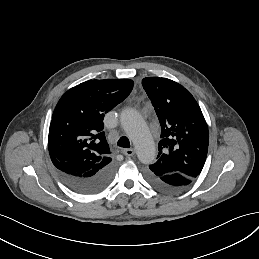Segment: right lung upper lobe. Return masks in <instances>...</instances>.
<instances>
[{"label":"right lung upper lobe","instance_id":"right-lung-upper-lobe-1","mask_svg":"<svg viewBox=\"0 0 259 259\" xmlns=\"http://www.w3.org/2000/svg\"><path fill=\"white\" fill-rule=\"evenodd\" d=\"M133 85L130 79L89 80L61 97L48 135L50 158L58 170L90 176L111 163L104 114L122 102Z\"/></svg>","mask_w":259,"mask_h":259}]
</instances>
